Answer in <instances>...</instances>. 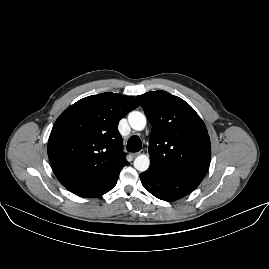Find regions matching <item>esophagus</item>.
I'll list each match as a JSON object with an SVG mask.
<instances>
[{
    "instance_id": "34e87169",
    "label": "esophagus",
    "mask_w": 269,
    "mask_h": 269,
    "mask_svg": "<svg viewBox=\"0 0 269 269\" xmlns=\"http://www.w3.org/2000/svg\"><path fill=\"white\" fill-rule=\"evenodd\" d=\"M140 153H141V152H135V153H132L131 155H132L133 158H135V157H137Z\"/></svg>"
}]
</instances>
